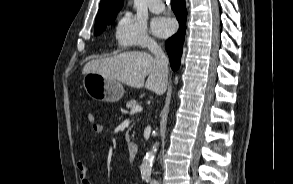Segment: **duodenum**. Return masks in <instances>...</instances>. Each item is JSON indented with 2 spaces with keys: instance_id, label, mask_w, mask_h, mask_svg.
<instances>
[{
  "instance_id": "1",
  "label": "duodenum",
  "mask_w": 293,
  "mask_h": 184,
  "mask_svg": "<svg viewBox=\"0 0 293 184\" xmlns=\"http://www.w3.org/2000/svg\"><path fill=\"white\" fill-rule=\"evenodd\" d=\"M138 144L136 142H130L128 144V154H129V160L134 161L137 153H138Z\"/></svg>"
}]
</instances>
